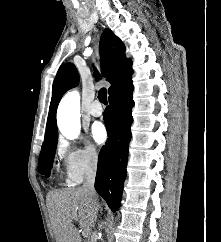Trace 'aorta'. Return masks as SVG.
Listing matches in <instances>:
<instances>
[{"mask_svg": "<svg viewBox=\"0 0 221 242\" xmlns=\"http://www.w3.org/2000/svg\"><path fill=\"white\" fill-rule=\"evenodd\" d=\"M57 122L61 133L68 139L76 138L80 133V94L74 90L68 92L60 101L57 110Z\"/></svg>", "mask_w": 221, "mask_h": 242, "instance_id": "obj_1", "label": "aorta"}]
</instances>
